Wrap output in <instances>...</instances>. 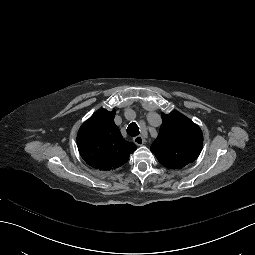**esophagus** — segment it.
I'll use <instances>...</instances> for the list:
<instances>
[{"instance_id":"esophagus-1","label":"esophagus","mask_w":255,"mask_h":255,"mask_svg":"<svg viewBox=\"0 0 255 255\" xmlns=\"http://www.w3.org/2000/svg\"><path fill=\"white\" fill-rule=\"evenodd\" d=\"M133 141H134V143H135L136 145H138V146H141V145L144 144V139H143V137L140 136V135L134 137Z\"/></svg>"}]
</instances>
